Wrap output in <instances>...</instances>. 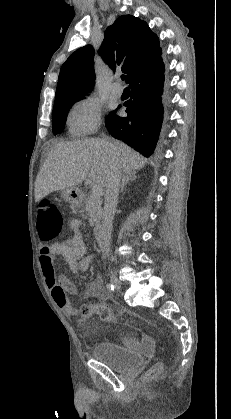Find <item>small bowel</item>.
<instances>
[{
    "label": "small bowel",
    "instance_id": "c3829d8e",
    "mask_svg": "<svg viewBox=\"0 0 231 419\" xmlns=\"http://www.w3.org/2000/svg\"><path fill=\"white\" fill-rule=\"evenodd\" d=\"M80 225V220L73 219L71 221V227L74 231V235L71 238L64 242L43 246L40 249L42 275L54 302L62 312L75 317L77 320H81L84 316L81 314L80 309H77L67 297V293H76V285L73 280L65 275L56 274L55 259L57 256L63 257L73 274L84 272L89 269L92 264V256L87 253V245L79 230ZM85 295L89 298L100 299L101 302L95 304L96 306L108 307L104 303V300L108 298V295L103 289L100 278L94 279L86 286ZM125 341L131 345L138 343V340L132 336L126 337Z\"/></svg>",
    "mask_w": 231,
    "mask_h": 419
}]
</instances>
